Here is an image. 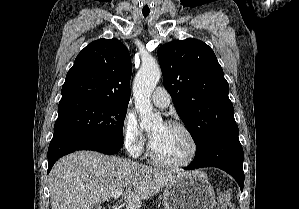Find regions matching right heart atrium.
Here are the masks:
<instances>
[{"mask_svg": "<svg viewBox=\"0 0 299 209\" xmlns=\"http://www.w3.org/2000/svg\"><path fill=\"white\" fill-rule=\"evenodd\" d=\"M123 143L129 154L138 158L142 155L145 147V136L139 128L136 117L127 113L122 122Z\"/></svg>", "mask_w": 299, "mask_h": 209, "instance_id": "obj_1", "label": "right heart atrium"}]
</instances>
